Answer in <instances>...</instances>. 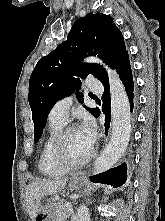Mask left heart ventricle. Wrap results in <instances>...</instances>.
Returning a JSON list of instances; mask_svg holds the SVG:
<instances>
[{
  "label": "left heart ventricle",
  "mask_w": 165,
  "mask_h": 221,
  "mask_svg": "<svg viewBox=\"0 0 165 221\" xmlns=\"http://www.w3.org/2000/svg\"><path fill=\"white\" fill-rule=\"evenodd\" d=\"M92 145L82 134L80 129L71 131L66 137L64 151L70 161H80L90 152Z\"/></svg>",
  "instance_id": "1"
}]
</instances>
